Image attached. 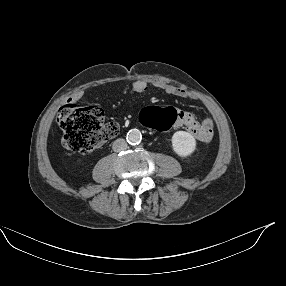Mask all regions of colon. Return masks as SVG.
Masks as SVG:
<instances>
[{"label":"colon","instance_id":"5ec220e1","mask_svg":"<svg viewBox=\"0 0 286 286\" xmlns=\"http://www.w3.org/2000/svg\"><path fill=\"white\" fill-rule=\"evenodd\" d=\"M57 124L63 132L62 145L71 152L87 154L119 133V124L107 121L99 107L65 104L58 110ZM177 121L174 109L148 106L140 114L139 124L167 133Z\"/></svg>","mask_w":286,"mask_h":286}]
</instances>
